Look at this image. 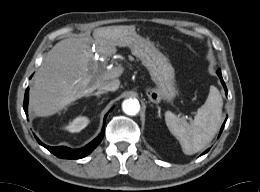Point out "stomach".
I'll use <instances>...</instances> for the list:
<instances>
[{
	"instance_id": "obj_1",
	"label": "stomach",
	"mask_w": 260,
	"mask_h": 192,
	"mask_svg": "<svg viewBox=\"0 0 260 192\" xmlns=\"http://www.w3.org/2000/svg\"><path fill=\"white\" fill-rule=\"evenodd\" d=\"M116 46L128 47L148 70L155 87L146 89L148 98L159 103L164 100L172 103L177 95L174 68L168 59L147 38L130 27H117L111 31Z\"/></svg>"
}]
</instances>
